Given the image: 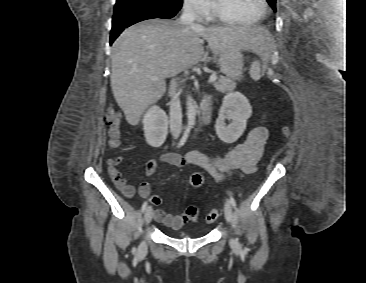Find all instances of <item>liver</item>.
Segmentation results:
<instances>
[{"mask_svg":"<svg viewBox=\"0 0 366 283\" xmlns=\"http://www.w3.org/2000/svg\"><path fill=\"white\" fill-rule=\"evenodd\" d=\"M202 38V39H201ZM270 33L247 25L184 26L179 20L150 19L125 29L113 44L111 88L127 122L137 125L150 105L166 91L167 77L197 65L203 40L214 55L233 49L264 55Z\"/></svg>","mask_w":366,"mask_h":283,"instance_id":"obj_1","label":"liver"}]
</instances>
